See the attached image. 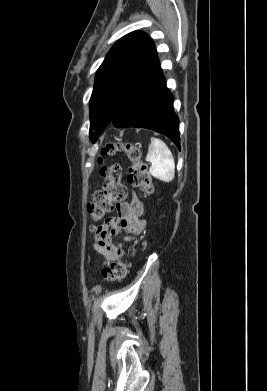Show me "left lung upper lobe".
<instances>
[{"label":"left lung upper lobe","instance_id":"left-lung-upper-lobe-1","mask_svg":"<svg viewBox=\"0 0 267 391\" xmlns=\"http://www.w3.org/2000/svg\"><path fill=\"white\" fill-rule=\"evenodd\" d=\"M154 42L144 32L121 38L99 67L90 99V139L111 122L131 89L158 63Z\"/></svg>","mask_w":267,"mask_h":391}]
</instances>
